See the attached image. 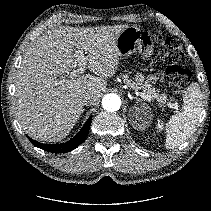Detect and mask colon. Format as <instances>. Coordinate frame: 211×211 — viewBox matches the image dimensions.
<instances>
[{
    "instance_id": "colon-1",
    "label": "colon",
    "mask_w": 211,
    "mask_h": 211,
    "mask_svg": "<svg viewBox=\"0 0 211 211\" xmlns=\"http://www.w3.org/2000/svg\"><path fill=\"white\" fill-rule=\"evenodd\" d=\"M161 58L166 68V80L174 93H181L190 80V73L181 67L185 55L181 44L172 37L159 36Z\"/></svg>"
}]
</instances>
